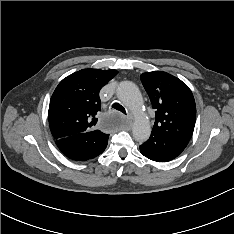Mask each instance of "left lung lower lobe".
I'll use <instances>...</instances> for the list:
<instances>
[{
  "label": "left lung lower lobe",
  "mask_w": 234,
  "mask_h": 234,
  "mask_svg": "<svg viewBox=\"0 0 234 234\" xmlns=\"http://www.w3.org/2000/svg\"><path fill=\"white\" fill-rule=\"evenodd\" d=\"M183 150L179 144L155 133H151L150 138L140 146V152L156 162H168L179 156Z\"/></svg>",
  "instance_id": "left-lung-lower-lobe-1"
}]
</instances>
